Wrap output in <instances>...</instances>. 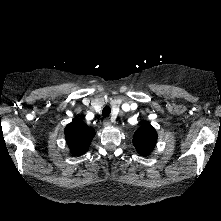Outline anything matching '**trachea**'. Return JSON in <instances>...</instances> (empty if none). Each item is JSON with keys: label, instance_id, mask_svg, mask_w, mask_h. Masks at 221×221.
Masks as SVG:
<instances>
[{"label": "trachea", "instance_id": "obj_1", "mask_svg": "<svg viewBox=\"0 0 221 221\" xmlns=\"http://www.w3.org/2000/svg\"><path fill=\"white\" fill-rule=\"evenodd\" d=\"M110 114H111V108H110V106H105V107L103 108V110H102V116H103L104 118H106V117H109Z\"/></svg>", "mask_w": 221, "mask_h": 221}]
</instances>
